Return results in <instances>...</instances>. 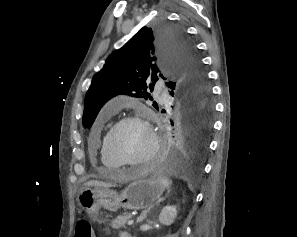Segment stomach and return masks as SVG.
Listing matches in <instances>:
<instances>
[{
	"label": "stomach",
	"instance_id": "obj_1",
	"mask_svg": "<svg viewBox=\"0 0 297 237\" xmlns=\"http://www.w3.org/2000/svg\"><path fill=\"white\" fill-rule=\"evenodd\" d=\"M165 188L158 178H142L131 182L120 194L106 188L87 186L80 191L77 200L89 214H96L102 207L109 211L120 208L139 210L153 206Z\"/></svg>",
	"mask_w": 297,
	"mask_h": 237
}]
</instances>
